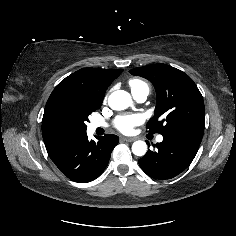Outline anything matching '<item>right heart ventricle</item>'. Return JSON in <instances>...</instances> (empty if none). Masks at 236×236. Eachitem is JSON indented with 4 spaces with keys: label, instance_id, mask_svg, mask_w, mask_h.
<instances>
[{
    "label": "right heart ventricle",
    "instance_id": "right-heart-ventricle-1",
    "mask_svg": "<svg viewBox=\"0 0 236 236\" xmlns=\"http://www.w3.org/2000/svg\"><path fill=\"white\" fill-rule=\"evenodd\" d=\"M129 86L132 93L146 92L149 93V86L146 82L140 79H131L129 81Z\"/></svg>",
    "mask_w": 236,
    "mask_h": 236
}]
</instances>
